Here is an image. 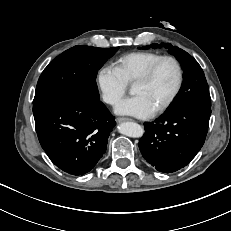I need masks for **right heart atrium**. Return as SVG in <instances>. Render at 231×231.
Masks as SVG:
<instances>
[{"mask_svg":"<svg viewBox=\"0 0 231 231\" xmlns=\"http://www.w3.org/2000/svg\"><path fill=\"white\" fill-rule=\"evenodd\" d=\"M96 81L102 99L111 106H115L127 90V83L116 69L109 65H104L98 70Z\"/></svg>","mask_w":231,"mask_h":231,"instance_id":"1","label":"right heart atrium"}]
</instances>
